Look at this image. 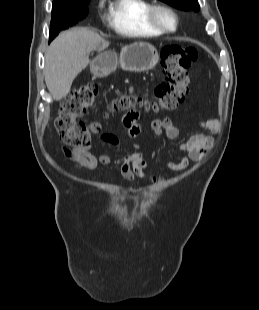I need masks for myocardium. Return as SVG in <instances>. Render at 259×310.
Masks as SVG:
<instances>
[{"label":"myocardium","mask_w":259,"mask_h":310,"mask_svg":"<svg viewBox=\"0 0 259 310\" xmlns=\"http://www.w3.org/2000/svg\"><path fill=\"white\" fill-rule=\"evenodd\" d=\"M162 12L171 16L173 20L172 27H167L160 21L159 14ZM148 22L152 27H154L155 29H157L162 33H173L177 30L179 26V18L176 12L172 8L161 4L152 5L150 7L148 11Z\"/></svg>","instance_id":"1"}]
</instances>
